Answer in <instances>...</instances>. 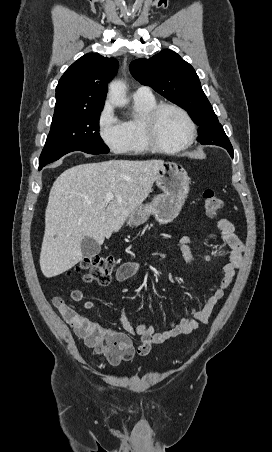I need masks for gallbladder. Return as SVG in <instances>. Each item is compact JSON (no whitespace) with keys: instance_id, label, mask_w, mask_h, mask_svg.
<instances>
[{"instance_id":"obj_1","label":"gallbladder","mask_w":272,"mask_h":452,"mask_svg":"<svg viewBox=\"0 0 272 452\" xmlns=\"http://www.w3.org/2000/svg\"><path fill=\"white\" fill-rule=\"evenodd\" d=\"M81 251L84 257L92 258L101 251L100 245L91 237H84L81 243Z\"/></svg>"}]
</instances>
